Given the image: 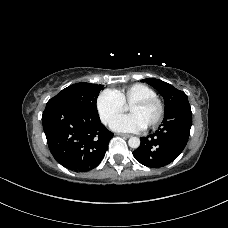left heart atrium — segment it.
<instances>
[{
	"mask_svg": "<svg viewBox=\"0 0 228 228\" xmlns=\"http://www.w3.org/2000/svg\"><path fill=\"white\" fill-rule=\"evenodd\" d=\"M110 126L118 132H140L146 128L134 114L118 116L111 121Z\"/></svg>",
	"mask_w": 228,
	"mask_h": 228,
	"instance_id": "39dd6f15",
	"label": "left heart atrium"
}]
</instances>
